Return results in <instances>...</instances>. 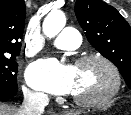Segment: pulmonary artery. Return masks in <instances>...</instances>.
Listing matches in <instances>:
<instances>
[{
    "instance_id": "1",
    "label": "pulmonary artery",
    "mask_w": 131,
    "mask_h": 115,
    "mask_svg": "<svg viewBox=\"0 0 131 115\" xmlns=\"http://www.w3.org/2000/svg\"><path fill=\"white\" fill-rule=\"evenodd\" d=\"M80 34L76 29L64 28L53 40L52 44L62 50H73L80 45Z\"/></svg>"
}]
</instances>
